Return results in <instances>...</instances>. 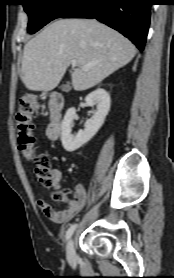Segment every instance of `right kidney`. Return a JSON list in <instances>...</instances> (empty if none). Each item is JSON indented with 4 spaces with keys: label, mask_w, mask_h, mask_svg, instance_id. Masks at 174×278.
I'll list each match as a JSON object with an SVG mask.
<instances>
[{
    "label": "right kidney",
    "mask_w": 174,
    "mask_h": 278,
    "mask_svg": "<svg viewBox=\"0 0 174 278\" xmlns=\"http://www.w3.org/2000/svg\"><path fill=\"white\" fill-rule=\"evenodd\" d=\"M86 104L93 107L96 104V111L93 116L85 123V129L77 134H71L73 119L76 114L75 108H69L62 121L61 141L62 146L68 152H73L87 143L98 132L103 125L105 118L110 110V95L103 89L98 88L88 94L85 98Z\"/></svg>",
    "instance_id": "right-kidney-1"
}]
</instances>
